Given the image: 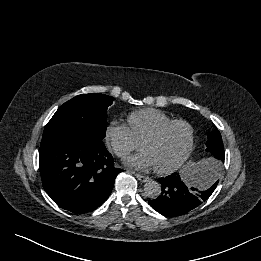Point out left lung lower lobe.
Here are the masks:
<instances>
[{"label":"left lung lower lobe","instance_id":"left-lung-lower-lobe-1","mask_svg":"<svg viewBox=\"0 0 261 261\" xmlns=\"http://www.w3.org/2000/svg\"><path fill=\"white\" fill-rule=\"evenodd\" d=\"M221 165L208 162L201 167L196 187H187L179 173L159 178L162 185L161 195L149 200L150 206L164 216L175 217L186 214L205 202L218 184Z\"/></svg>","mask_w":261,"mask_h":261}]
</instances>
